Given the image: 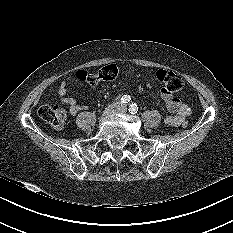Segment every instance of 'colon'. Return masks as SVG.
<instances>
[{
	"label": "colon",
	"mask_w": 233,
	"mask_h": 233,
	"mask_svg": "<svg viewBox=\"0 0 233 233\" xmlns=\"http://www.w3.org/2000/svg\"><path fill=\"white\" fill-rule=\"evenodd\" d=\"M119 69L115 64H108L101 67L98 71L88 73L86 71L77 72L76 76L79 80L96 86L100 82H111L117 78ZM156 79L162 86V90L173 94L183 88V79L176 73L167 70H158ZM39 117L51 125L55 129H61L67 120L66 111L60 106L43 105L38 109ZM187 122L183 123V127H187Z\"/></svg>",
	"instance_id": "colon-1"
}]
</instances>
